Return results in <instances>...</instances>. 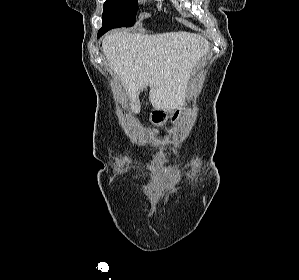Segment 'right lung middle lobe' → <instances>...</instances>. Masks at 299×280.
<instances>
[{
  "instance_id": "right-lung-middle-lobe-1",
  "label": "right lung middle lobe",
  "mask_w": 299,
  "mask_h": 280,
  "mask_svg": "<svg viewBox=\"0 0 299 280\" xmlns=\"http://www.w3.org/2000/svg\"><path fill=\"white\" fill-rule=\"evenodd\" d=\"M138 3L136 0H107L102 14L103 22L112 28L134 25Z\"/></svg>"
}]
</instances>
